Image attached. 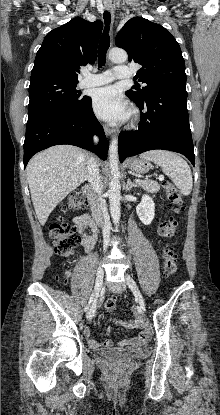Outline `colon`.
Masks as SVG:
<instances>
[{
    "mask_svg": "<svg viewBox=\"0 0 220 415\" xmlns=\"http://www.w3.org/2000/svg\"><path fill=\"white\" fill-rule=\"evenodd\" d=\"M167 199L173 208L174 212H179L183 205L182 196L179 191L169 182L164 183ZM87 202V197L83 192H73L68 197L67 202L63 205V211H77L82 209ZM177 223L172 217L164 219L159 227L158 233L163 238H172L175 235ZM50 236L54 241V248L57 255L61 257H69L72 255L75 246L77 245L78 237L77 230L74 226L66 224L59 217L58 221L50 225ZM163 269L167 277H172L177 271V258L174 248L166 245L162 251ZM64 275H68V271H64ZM117 307L115 298H110L105 303V310L113 312ZM143 339H148L149 334L143 333Z\"/></svg>",
    "mask_w": 220,
    "mask_h": 415,
    "instance_id": "5ec220e1",
    "label": "colon"
}]
</instances>
